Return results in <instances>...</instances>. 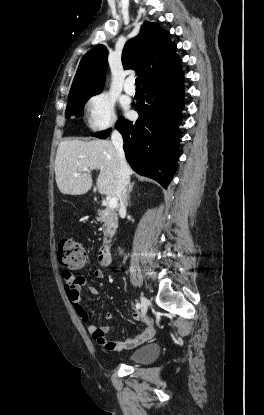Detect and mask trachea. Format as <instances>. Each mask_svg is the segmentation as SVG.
Instances as JSON below:
<instances>
[{"mask_svg":"<svg viewBox=\"0 0 264 415\" xmlns=\"http://www.w3.org/2000/svg\"><path fill=\"white\" fill-rule=\"evenodd\" d=\"M135 84H136V87H141L140 79L138 77L135 79Z\"/></svg>","mask_w":264,"mask_h":415,"instance_id":"1","label":"trachea"}]
</instances>
